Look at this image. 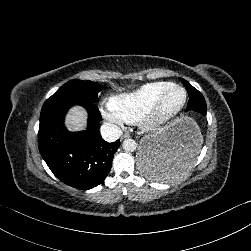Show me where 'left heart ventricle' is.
<instances>
[{"label":"left heart ventricle","instance_id":"1","mask_svg":"<svg viewBox=\"0 0 251 251\" xmlns=\"http://www.w3.org/2000/svg\"><path fill=\"white\" fill-rule=\"evenodd\" d=\"M184 98V93L181 90L170 88L168 96L159 111V116L169 118L175 115L181 108Z\"/></svg>","mask_w":251,"mask_h":251}]
</instances>
